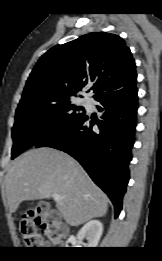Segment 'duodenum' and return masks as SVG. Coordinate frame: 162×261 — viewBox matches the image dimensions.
Returning a JSON list of instances; mask_svg holds the SVG:
<instances>
[{
	"label": "duodenum",
	"mask_w": 162,
	"mask_h": 261,
	"mask_svg": "<svg viewBox=\"0 0 162 261\" xmlns=\"http://www.w3.org/2000/svg\"><path fill=\"white\" fill-rule=\"evenodd\" d=\"M63 232H64V236H66L67 235V233L63 230Z\"/></svg>",
	"instance_id": "1"
}]
</instances>
